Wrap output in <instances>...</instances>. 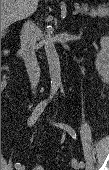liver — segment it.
Here are the masks:
<instances>
[{
  "label": "liver",
  "instance_id": "liver-1",
  "mask_svg": "<svg viewBox=\"0 0 109 170\" xmlns=\"http://www.w3.org/2000/svg\"><path fill=\"white\" fill-rule=\"evenodd\" d=\"M39 0H1V28H8L14 22L32 14Z\"/></svg>",
  "mask_w": 109,
  "mask_h": 170
}]
</instances>
